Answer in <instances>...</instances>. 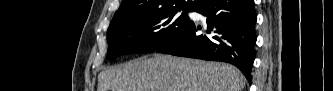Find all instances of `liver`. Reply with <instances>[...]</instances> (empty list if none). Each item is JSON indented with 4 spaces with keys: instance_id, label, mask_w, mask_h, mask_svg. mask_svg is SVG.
Returning <instances> with one entry per match:
<instances>
[{
    "instance_id": "liver-1",
    "label": "liver",
    "mask_w": 333,
    "mask_h": 91,
    "mask_svg": "<svg viewBox=\"0 0 333 91\" xmlns=\"http://www.w3.org/2000/svg\"><path fill=\"white\" fill-rule=\"evenodd\" d=\"M245 82L229 64L154 54L100 72L97 91H241Z\"/></svg>"
}]
</instances>
